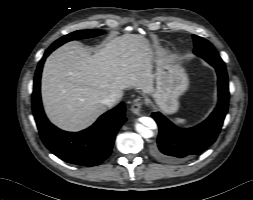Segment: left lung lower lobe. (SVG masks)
<instances>
[{"label":"left lung lower lobe","instance_id":"0a47b994","mask_svg":"<svg viewBox=\"0 0 253 200\" xmlns=\"http://www.w3.org/2000/svg\"><path fill=\"white\" fill-rule=\"evenodd\" d=\"M213 67L218 75L219 102L204 122L182 129L159 112L152 113L159 127L157 143L152 147V154L157 159L168 163L182 162L201 153L216 140L227 113L229 88L226 68Z\"/></svg>","mask_w":253,"mask_h":200}]
</instances>
